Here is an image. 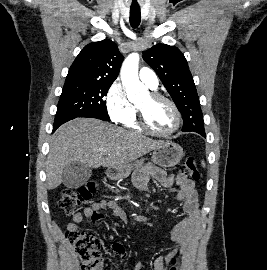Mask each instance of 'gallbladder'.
Instances as JSON below:
<instances>
[{"mask_svg": "<svg viewBox=\"0 0 267 270\" xmlns=\"http://www.w3.org/2000/svg\"><path fill=\"white\" fill-rule=\"evenodd\" d=\"M92 169L80 162L67 165L62 173L63 184L67 188H79L91 177Z\"/></svg>", "mask_w": 267, "mask_h": 270, "instance_id": "obj_1", "label": "gallbladder"}]
</instances>
